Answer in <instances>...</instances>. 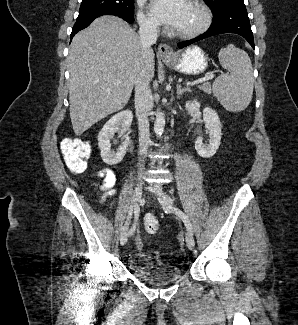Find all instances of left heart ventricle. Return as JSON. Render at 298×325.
<instances>
[{"label": "left heart ventricle", "instance_id": "b2bd125f", "mask_svg": "<svg viewBox=\"0 0 298 325\" xmlns=\"http://www.w3.org/2000/svg\"><path fill=\"white\" fill-rule=\"evenodd\" d=\"M198 22L199 18L196 11L188 2L184 1L179 23L172 27L171 30L174 32L188 31L195 28Z\"/></svg>", "mask_w": 298, "mask_h": 325}]
</instances>
